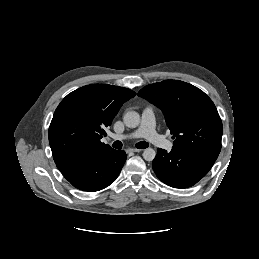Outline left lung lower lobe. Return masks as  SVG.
Returning <instances> with one entry per match:
<instances>
[{
  "label": "left lung lower lobe",
  "instance_id": "1",
  "mask_svg": "<svg viewBox=\"0 0 259 259\" xmlns=\"http://www.w3.org/2000/svg\"><path fill=\"white\" fill-rule=\"evenodd\" d=\"M218 155L210 151H178L172 148L167 152L158 148L152 167L165 184L174 188H187L209 172Z\"/></svg>",
  "mask_w": 259,
  "mask_h": 259
}]
</instances>
